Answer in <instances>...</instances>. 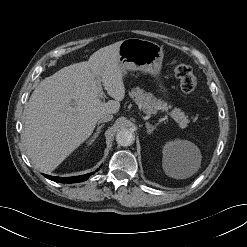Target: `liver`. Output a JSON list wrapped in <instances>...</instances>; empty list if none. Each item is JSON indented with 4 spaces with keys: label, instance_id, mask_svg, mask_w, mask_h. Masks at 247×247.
<instances>
[{
    "label": "liver",
    "instance_id": "1",
    "mask_svg": "<svg viewBox=\"0 0 247 247\" xmlns=\"http://www.w3.org/2000/svg\"><path fill=\"white\" fill-rule=\"evenodd\" d=\"M121 41L100 48L88 61L64 67L42 80L33 91L25 113L24 139L29 157L50 173L93 132L100 114H115L124 99L118 63ZM103 84L114 100L103 102Z\"/></svg>",
    "mask_w": 247,
    "mask_h": 247
}]
</instances>
